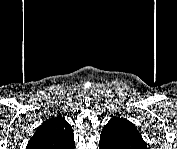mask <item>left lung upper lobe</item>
<instances>
[{
  "label": "left lung upper lobe",
  "instance_id": "5c2ea615",
  "mask_svg": "<svg viewBox=\"0 0 177 149\" xmlns=\"http://www.w3.org/2000/svg\"><path fill=\"white\" fill-rule=\"evenodd\" d=\"M99 146L105 149H146V144L135 125L117 116L104 126Z\"/></svg>",
  "mask_w": 177,
  "mask_h": 149
}]
</instances>
